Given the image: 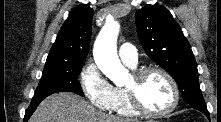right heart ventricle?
I'll return each instance as SVG.
<instances>
[{"instance_id":"1","label":"right heart ventricle","mask_w":221,"mask_h":122,"mask_svg":"<svg viewBox=\"0 0 221 122\" xmlns=\"http://www.w3.org/2000/svg\"><path fill=\"white\" fill-rule=\"evenodd\" d=\"M109 110L123 117H135L139 115L131 105L126 89L121 87H113V99Z\"/></svg>"}]
</instances>
